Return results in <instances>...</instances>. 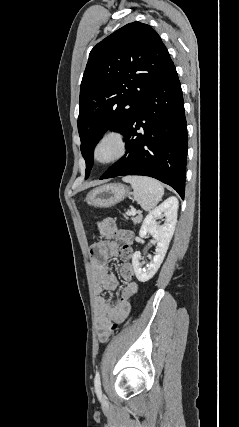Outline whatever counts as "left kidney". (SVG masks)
I'll return each mask as SVG.
<instances>
[{
	"instance_id": "5707ae66",
	"label": "left kidney",
	"mask_w": 239,
	"mask_h": 427,
	"mask_svg": "<svg viewBox=\"0 0 239 427\" xmlns=\"http://www.w3.org/2000/svg\"><path fill=\"white\" fill-rule=\"evenodd\" d=\"M178 200L170 197L158 207L149 212L144 219L139 236L141 238L150 234L156 240L155 256L145 267L140 263L141 253L136 251L132 256V265L137 279L146 282L158 271L164 260L170 240L173 236L177 222ZM165 216L163 225H159L156 220Z\"/></svg>"
}]
</instances>
